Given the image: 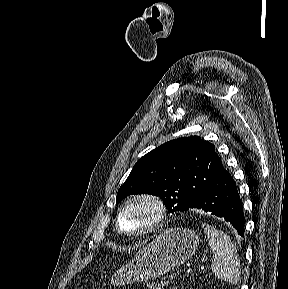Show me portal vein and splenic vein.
Wrapping results in <instances>:
<instances>
[{
  "label": "portal vein and splenic vein",
  "instance_id": "obj_1",
  "mask_svg": "<svg viewBox=\"0 0 288 289\" xmlns=\"http://www.w3.org/2000/svg\"><path fill=\"white\" fill-rule=\"evenodd\" d=\"M177 272H174L173 274L170 275L169 279L172 280L176 276Z\"/></svg>",
  "mask_w": 288,
  "mask_h": 289
}]
</instances>
